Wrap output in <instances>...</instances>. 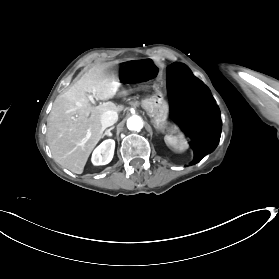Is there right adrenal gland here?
I'll return each instance as SVG.
<instances>
[{"mask_svg": "<svg viewBox=\"0 0 279 279\" xmlns=\"http://www.w3.org/2000/svg\"><path fill=\"white\" fill-rule=\"evenodd\" d=\"M114 127H115V126L110 127V128L104 133L103 137H105V136L111 137L112 134L110 133V131H111L112 129H114Z\"/></svg>", "mask_w": 279, "mask_h": 279, "instance_id": "right-adrenal-gland-1", "label": "right adrenal gland"}]
</instances>
